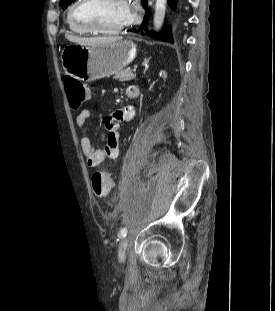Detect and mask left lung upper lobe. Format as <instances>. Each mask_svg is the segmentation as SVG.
Wrapping results in <instances>:
<instances>
[{"label":"left lung upper lobe","mask_w":275,"mask_h":311,"mask_svg":"<svg viewBox=\"0 0 275 311\" xmlns=\"http://www.w3.org/2000/svg\"><path fill=\"white\" fill-rule=\"evenodd\" d=\"M73 1L74 0H60V6L62 7V9H66Z\"/></svg>","instance_id":"5c2ea615"}]
</instances>
